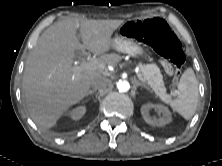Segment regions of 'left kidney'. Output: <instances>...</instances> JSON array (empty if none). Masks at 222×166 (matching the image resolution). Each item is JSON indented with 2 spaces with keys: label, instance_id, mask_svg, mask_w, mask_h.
Wrapping results in <instances>:
<instances>
[{
  "label": "left kidney",
  "instance_id": "obj_1",
  "mask_svg": "<svg viewBox=\"0 0 222 166\" xmlns=\"http://www.w3.org/2000/svg\"><path fill=\"white\" fill-rule=\"evenodd\" d=\"M151 109H155L162 116L160 118L150 117L149 112ZM141 114L145 122L152 126H165L166 124L172 121L169 109L161 104H152V103L144 104L141 107Z\"/></svg>",
  "mask_w": 222,
  "mask_h": 166
}]
</instances>
